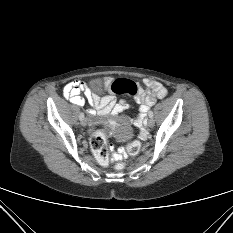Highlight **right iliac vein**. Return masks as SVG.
I'll list each match as a JSON object with an SVG mask.
<instances>
[{"instance_id": "63e3f726", "label": "right iliac vein", "mask_w": 233, "mask_h": 233, "mask_svg": "<svg viewBox=\"0 0 233 233\" xmlns=\"http://www.w3.org/2000/svg\"><path fill=\"white\" fill-rule=\"evenodd\" d=\"M81 124H82L83 126H86V125H87V119H86V118H83V119L81 120Z\"/></svg>"}]
</instances>
